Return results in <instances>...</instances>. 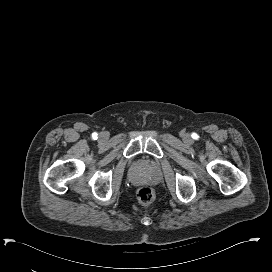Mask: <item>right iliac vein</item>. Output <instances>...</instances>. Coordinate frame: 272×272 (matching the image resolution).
<instances>
[{"label": "right iliac vein", "mask_w": 272, "mask_h": 272, "mask_svg": "<svg viewBox=\"0 0 272 272\" xmlns=\"http://www.w3.org/2000/svg\"><path fill=\"white\" fill-rule=\"evenodd\" d=\"M99 137H100V139H102V140H105V139H107V134L106 133H101L100 135H99Z\"/></svg>", "instance_id": "obj_1"}]
</instances>
